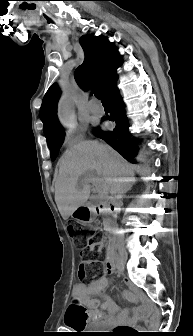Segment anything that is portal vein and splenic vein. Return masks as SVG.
Returning a JSON list of instances; mask_svg holds the SVG:
<instances>
[{"mask_svg":"<svg viewBox=\"0 0 193 336\" xmlns=\"http://www.w3.org/2000/svg\"><path fill=\"white\" fill-rule=\"evenodd\" d=\"M95 179L93 178V179H90V181H94Z\"/></svg>","mask_w":193,"mask_h":336,"instance_id":"1","label":"portal vein and splenic vein"}]
</instances>
